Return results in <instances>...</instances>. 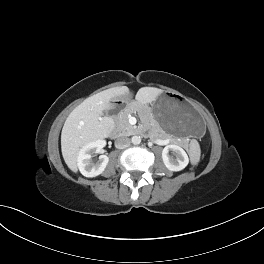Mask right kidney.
Wrapping results in <instances>:
<instances>
[{"mask_svg": "<svg viewBox=\"0 0 264 264\" xmlns=\"http://www.w3.org/2000/svg\"><path fill=\"white\" fill-rule=\"evenodd\" d=\"M105 145L106 142L104 140H96L84 145L80 149L77 165L83 176L96 177L103 173L109 162L108 156L101 155L96 163L92 162L91 157L92 154L99 152Z\"/></svg>", "mask_w": 264, "mask_h": 264, "instance_id": "1", "label": "right kidney"}]
</instances>
